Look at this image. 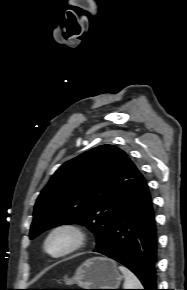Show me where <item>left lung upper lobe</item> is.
I'll return each instance as SVG.
<instances>
[{"mask_svg":"<svg viewBox=\"0 0 187 290\" xmlns=\"http://www.w3.org/2000/svg\"><path fill=\"white\" fill-rule=\"evenodd\" d=\"M145 180L128 155L101 145L67 161L37 198L30 239L63 224L87 226L96 247L107 239L125 200Z\"/></svg>","mask_w":187,"mask_h":290,"instance_id":"obj_1","label":"left lung upper lobe"}]
</instances>
